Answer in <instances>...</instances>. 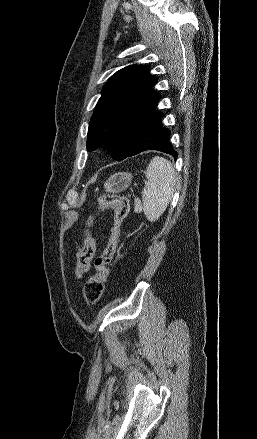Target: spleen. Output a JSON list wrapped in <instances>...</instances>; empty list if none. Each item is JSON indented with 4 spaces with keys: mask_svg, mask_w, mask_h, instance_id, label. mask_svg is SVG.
I'll list each match as a JSON object with an SVG mask.
<instances>
[{
    "mask_svg": "<svg viewBox=\"0 0 257 439\" xmlns=\"http://www.w3.org/2000/svg\"><path fill=\"white\" fill-rule=\"evenodd\" d=\"M147 183L142 191L143 211L150 222L157 221L166 210L177 180L170 161L155 156L146 170Z\"/></svg>",
    "mask_w": 257,
    "mask_h": 439,
    "instance_id": "obj_1",
    "label": "spleen"
}]
</instances>
